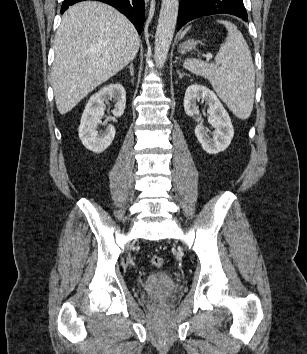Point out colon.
Listing matches in <instances>:
<instances>
[{
	"instance_id": "obj_1",
	"label": "colon",
	"mask_w": 307,
	"mask_h": 354,
	"mask_svg": "<svg viewBox=\"0 0 307 354\" xmlns=\"http://www.w3.org/2000/svg\"><path fill=\"white\" fill-rule=\"evenodd\" d=\"M151 263L154 267L160 268L164 264V259H163V257H161L159 255H154L151 258Z\"/></svg>"
}]
</instances>
